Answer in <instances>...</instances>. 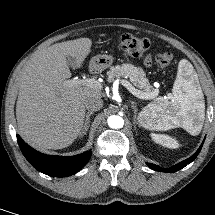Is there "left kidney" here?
<instances>
[{"mask_svg": "<svg viewBox=\"0 0 215 215\" xmlns=\"http://www.w3.org/2000/svg\"><path fill=\"white\" fill-rule=\"evenodd\" d=\"M151 137L154 142L162 146H165L167 148H178L179 146V143L177 142V140L167 135L151 134Z\"/></svg>", "mask_w": 215, "mask_h": 215, "instance_id": "5707ae66", "label": "left kidney"}]
</instances>
